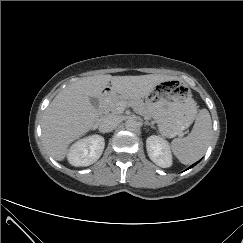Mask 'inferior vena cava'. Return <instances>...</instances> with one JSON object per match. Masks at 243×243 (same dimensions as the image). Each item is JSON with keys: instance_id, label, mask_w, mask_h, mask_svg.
Instances as JSON below:
<instances>
[{"instance_id": "602c4592", "label": "inferior vena cava", "mask_w": 243, "mask_h": 243, "mask_svg": "<svg viewBox=\"0 0 243 243\" xmlns=\"http://www.w3.org/2000/svg\"><path fill=\"white\" fill-rule=\"evenodd\" d=\"M119 123L120 120L117 116L108 115L102 120L100 129L102 132H111L119 125Z\"/></svg>"}]
</instances>
